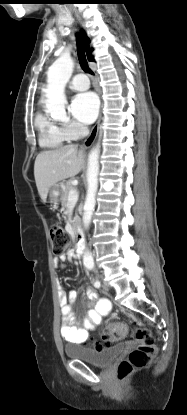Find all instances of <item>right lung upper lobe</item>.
<instances>
[{
  "label": "right lung upper lobe",
  "instance_id": "1",
  "mask_svg": "<svg viewBox=\"0 0 187 415\" xmlns=\"http://www.w3.org/2000/svg\"><path fill=\"white\" fill-rule=\"evenodd\" d=\"M81 34H82V37H83V43H84V47H85V50H86V53H87V58H88L89 61H94V57L91 55L93 49H90L89 48V42H90V40L85 35L84 32H81Z\"/></svg>",
  "mask_w": 187,
  "mask_h": 415
}]
</instances>
